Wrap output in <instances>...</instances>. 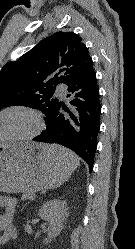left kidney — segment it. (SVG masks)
Masks as SVG:
<instances>
[{"label":"left kidney","instance_id":"obj_1","mask_svg":"<svg viewBox=\"0 0 135 249\" xmlns=\"http://www.w3.org/2000/svg\"><path fill=\"white\" fill-rule=\"evenodd\" d=\"M38 215L48 222V237L43 241L44 244H48L64 227V222L68 217L67 203L60 199L50 200L43 204Z\"/></svg>","mask_w":135,"mask_h":249}]
</instances>
